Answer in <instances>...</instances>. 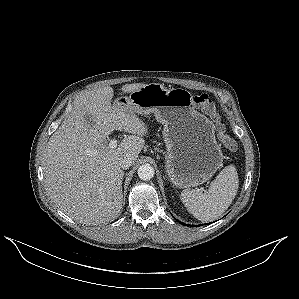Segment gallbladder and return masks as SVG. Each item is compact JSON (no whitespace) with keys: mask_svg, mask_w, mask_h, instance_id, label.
Listing matches in <instances>:
<instances>
[{"mask_svg":"<svg viewBox=\"0 0 299 299\" xmlns=\"http://www.w3.org/2000/svg\"><path fill=\"white\" fill-rule=\"evenodd\" d=\"M85 119H86V123L89 125V126H93L94 125V121L92 120V117L90 115H85Z\"/></svg>","mask_w":299,"mask_h":299,"instance_id":"1","label":"gallbladder"}]
</instances>
